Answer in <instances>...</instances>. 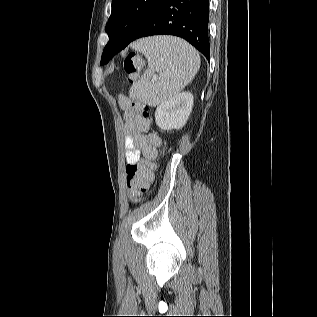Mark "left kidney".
Masks as SVG:
<instances>
[{
	"mask_svg": "<svg viewBox=\"0 0 317 317\" xmlns=\"http://www.w3.org/2000/svg\"><path fill=\"white\" fill-rule=\"evenodd\" d=\"M194 97L190 92L179 93L160 104L155 121L161 130L181 129L192 111Z\"/></svg>",
	"mask_w": 317,
	"mask_h": 317,
	"instance_id": "5707ae66",
	"label": "left kidney"
}]
</instances>
